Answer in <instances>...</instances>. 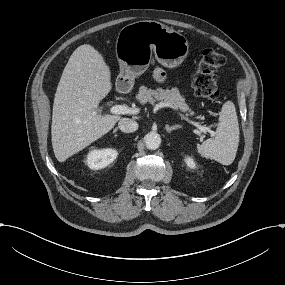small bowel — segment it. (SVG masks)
<instances>
[{"label": "small bowel", "instance_id": "1", "mask_svg": "<svg viewBox=\"0 0 285 285\" xmlns=\"http://www.w3.org/2000/svg\"><path fill=\"white\" fill-rule=\"evenodd\" d=\"M154 77L157 81L162 82L165 79V73L161 68L154 71Z\"/></svg>", "mask_w": 285, "mask_h": 285}]
</instances>
